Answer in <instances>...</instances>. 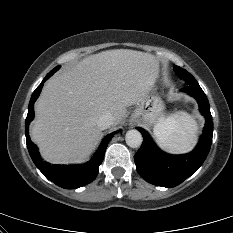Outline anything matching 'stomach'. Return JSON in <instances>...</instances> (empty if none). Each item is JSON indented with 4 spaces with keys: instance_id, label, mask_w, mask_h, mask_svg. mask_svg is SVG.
Returning <instances> with one entry per match:
<instances>
[{
    "instance_id": "stomach-1",
    "label": "stomach",
    "mask_w": 233,
    "mask_h": 233,
    "mask_svg": "<svg viewBox=\"0 0 233 233\" xmlns=\"http://www.w3.org/2000/svg\"><path fill=\"white\" fill-rule=\"evenodd\" d=\"M163 110V101L155 92H152L137 104L131 118L142 122L147 127H151L159 120Z\"/></svg>"
}]
</instances>
